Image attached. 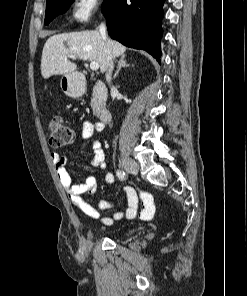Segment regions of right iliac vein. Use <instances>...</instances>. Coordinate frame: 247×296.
Masks as SVG:
<instances>
[{"instance_id":"right-iliac-vein-1","label":"right iliac vein","mask_w":247,"mask_h":296,"mask_svg":"<svg viewBox=\"0 0 247 296\" xmlns=\"http://www.w3.org/2000/svg\"><path fill=\"white\" fill-rule=\"evenodd\" d=\"M122 165L128 173L136 175L138 173L139 167L138 164L128 157L122 158Z\"/></svg>"}]
</instances>
